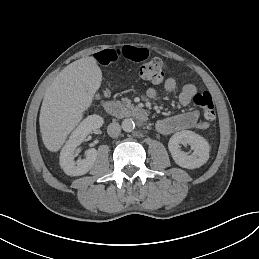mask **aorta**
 Instances as JSON below:
<instances>
[{"instance_id": "1", "label": "aorta", "mask_w": 259, "mask_h": 259, "mask_svg": "<svg viewBox=\"0 0 259 259\" xmlns=\"http://www.w3.org/2000/svg\"><path fill=\"white\" fill-rule=\"evenodd\" d=\"M134 127H135V123L133 122L132 119H124L122 121V129L125 131V132H131L134 130Z\"/></svg>"}]
</instances>
